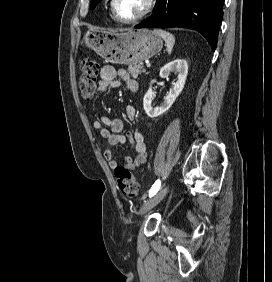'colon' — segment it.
<instances>
[{"label":"colon","mask_w":272,"mask_h":282,"mask_svg":"<svg viewBox=\"0 0 272 282\" xmlns=\"http://www.w3.org/2000/svg\"><path fill=\"white\" fill-rule=\"evenodd\" d=\"M82 74L80 77V90L83 98L93 97L98 88L99 65L91 57L81 61ZM115 176L120 193L126 198H133L138 194L139 182L125 167H116Z\"/></svg>","instance_id":"obj_1"}]
</instances>
